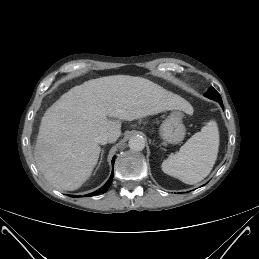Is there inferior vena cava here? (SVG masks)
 I'll return each mask as SVG.
<instances>
[{
  "mask_svg": "<svg viewBox=\"0 0 259 259\" xmlns=\"http://www.w3.org/2000/svg\"><path fill=\"white\" fill-rule=\"evenodd\" d=\"M95 142L97 144L105 145L106 143L110 142V135L107 132L100 133L96 138Z\"/></svg>",
  "mask_w": 259,
  "mask_h": 259,
  "instance_id": "602c4592",
  "label": "inferior vena cava"
}]
</instances>
